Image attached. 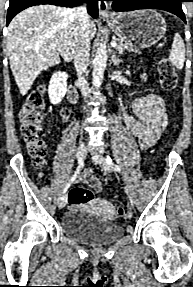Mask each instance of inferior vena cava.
Wrapping results in <instances>:
<instances>
[{
    "label": "inferior vena cava",
    "instance_id": "obj_1",
    "mask_svg": "<svg viewBox=\"0 0 193 287\" xmlns=\"http://www.w3.org/2000/svg\"><path fill=\"white\" fill-rule=\"evenodd\" d=\"M72 12L75 15L77 23L74 65L77 71L81 93L84 97H86L88 94V83L84 77V73L89 62L90 37L88 28L90 16L88 15L86 6L84 4L72 9Z\"/></svg>",
    "mask_w": 193,
    "mask_h": 287
}]
</instances>
